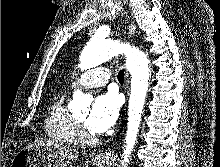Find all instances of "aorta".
<instances>
[{
	"label": "aorta",
	"instance_id": "aorta-1",
	"mask_svg": "<svg viewBox=\"0 0 220 167\" xmlns=\"http://www.w3.org/2000/svg\"><path fill=\"white\" fill-rule=\"evenodd\" d=\"M122 53L126 56V67L131 74L127 133L123 150V160L121 161V164L125 167L129 162V156L133 151L139 132L150 78L149 60L136 47H131L129 44L120 43L119 41L101 39L94 35L80 55L79 68L81 70H87L96 67ZM90 103L91 99L87 95L83 94L80 90H76L69 103V109L77 110L88 107Z\"/></svg>",
	"mask_w": 220,
	"mask_h": 167
}]
</instances>
